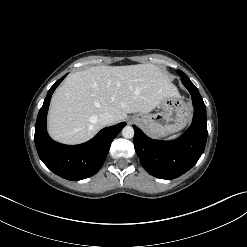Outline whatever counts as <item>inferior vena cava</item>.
I'll list each match as a JSON object with an SVG mask.
<instances>
[{"mask_svg": "<svg viewBox=\"0 0 247 247\" xmlns=\"http://www.w3.org/2000/svg\"><path fill=\"white\" fill-rule=\"evenodd\" d=\"M98 121L102 126L112 125L114 123V115L109 112H104L99 115Z\"/></svg>", "mask_w": 247, "mask_h": 247, "instance_id": "602c4592", "label": "inferior vena cava"}]
</instances>
